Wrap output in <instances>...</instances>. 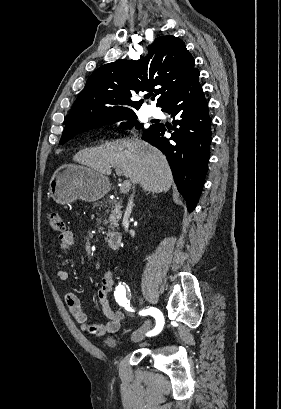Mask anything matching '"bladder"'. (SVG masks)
I'll list each match as a JSON object with an SVG mask.
<instances>
[{
	"label": "bladder",
	"instance_id": "31cf9c89",
	"mask_svg": "<svg viewBox=\"0 0 281 409\" xmlns=\"http://www.w3.org/2000/svg\"><path fill=\"white\" fill-rule=\"evenodd\" d=\"M101 347L108 352L119 353L126 349L127 341L121 335L113 334L103 338Z\"/></svg>",
	"mask_w": 281,
	"mask_h": 409
}]
</instances>
